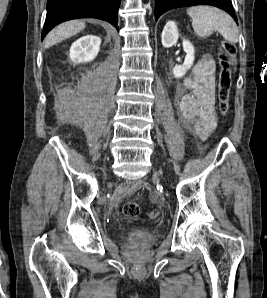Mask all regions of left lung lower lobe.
Masks as SVG:
<instances>
[{
    "label": "left lung lower lobe",
    "mask_w": 267,
    "mask_h": 298,
    "mask_svg": "<svg viewBox=\"0 0 267 298\" xmlns=\"http://www.w3.org/2000/svg\"><path fill=\"white\" fill-rule=\"evenodd\" d=\"M193 5H212L229 13L237 23L231 0H155V19L168 10Z\"/></svg>",
    "instance_id": "left-lung-lower-lobe-1"
}]
</instances>
